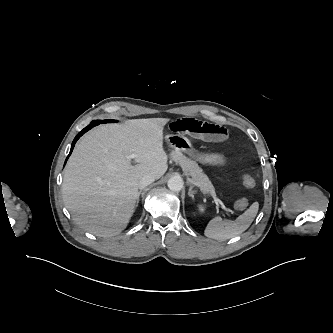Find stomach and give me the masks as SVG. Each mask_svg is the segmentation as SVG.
<instances>
[{
  "label": "stomach",
  "mask_w": 333,
  "mask_h": 333,
  "mask_svg": "<svg viewBox=\"0 0 333 333\" xmlns=\"http://www.w3.org/2000/svg\"><path fill=\"white\" fill-rule=\"evenodd\" d=\"M167 143L175 150L183 152L193 158H196L199 161L209 163L211 165H225L227 160L224 155L219 153H210L198 155L193 148L190 140L187 137H184L180 134L176 135H167Z\"/></svg>",
  "instance_id": "1"
}]
</instances>
